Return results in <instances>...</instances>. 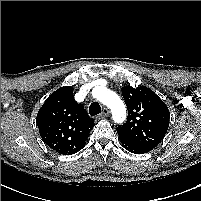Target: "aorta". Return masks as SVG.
<instances>
[{
    "instance_id": "762f6f07",
    "label": "aorta",
    "mask_w": 201,
    "mask_h": 201,
    "mask_svg": "<svg viewBox=\"0 0 201 201\" xmlns=\"http://www.w3.org/2000/svg\"><path fill=\"white\" fill-rule=\"evenodd\" d=\"M94 96L111 109L113 120L122 123L126 119V107L119 96L106 88H99Z\"/></svg>"
}]
</instances>
